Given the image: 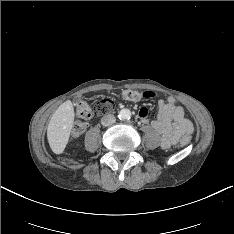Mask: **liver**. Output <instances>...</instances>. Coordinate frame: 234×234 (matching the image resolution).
<instances>
[{
  "label": "liver",
  "instance_id": "obj_1",
  "mask_svg": "<svg viewBox=\"0 0 234 234\" xmlns=\"http://www.w3.org/2000/svg\"><path fill=\"white\" fill-rule=\"evenodd\" d=\"M74 108L70 100L62 103L52 115L47 128V138L52 151H64L74 122Z\"/></svg>",
  "mask_w": 234,
  "mask_h": 234
}]
</instances>
